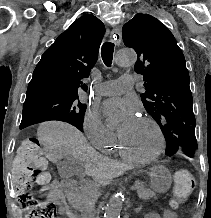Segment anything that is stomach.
<instances>
[{
    "mask_svg": "<svg viewBox=\"0 0 211 218\" xmlns=\"http://www.w3.org/2000/svg\"><path fill=\"white\" fill-rule=\"evenodd\" d=\"M171 179L169 170L164 166H155L150 172L151 188L154 191L166 192L171 185Z\"/></svg>",
    "mask_w": 211,
    "mask_h": 218,
    "instance_id": "0dacf381",
    "label": "stomach"
}]
</instances>
